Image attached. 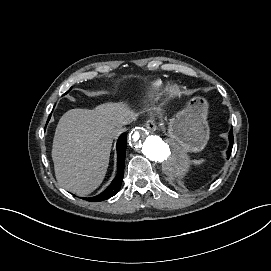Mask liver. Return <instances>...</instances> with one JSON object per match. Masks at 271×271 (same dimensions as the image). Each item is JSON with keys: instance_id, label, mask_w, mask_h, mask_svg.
Instances as JSON below:
<instances>
[{"instance_id": "liver-1", "label": "liver", "mask_w": 271, "mask_h": 271, "mask_svg": "<svg viewBox=\"0 0 271 271\" xmlns=\"http://www.w3.org/2000/svg\"><path fill=\"white\" fill-rule=\"evenodd\" d=\"M137 117L138 113L123 102L64 113L56 127L52 146L59 184L79 196L94 191L105 177L116 130Z\"/></svg>"}]
</instances>
